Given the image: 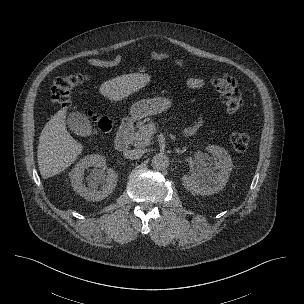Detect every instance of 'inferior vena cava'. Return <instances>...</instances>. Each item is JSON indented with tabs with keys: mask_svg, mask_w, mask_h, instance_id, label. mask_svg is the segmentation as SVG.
<instances>
[{
	"mask_svg": "<svg viewBox=\"0 0 304 304\" xmlns=\"http://www.w3.org/2000/svg\"><path fill=\"white\" fill-rule=\"evenodd\" d=\"M144 151L141 149H133V150H127L124 152V157L127 159L135 160L139 159L143 156Z\"/></svg>",
	"mask_w": 304,
	"mask_h": 304,
	"instance_id": "602c4592",
	"label": "inferior vena cava"
}]
</instances>
